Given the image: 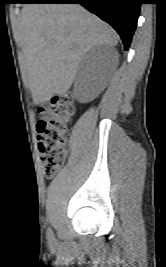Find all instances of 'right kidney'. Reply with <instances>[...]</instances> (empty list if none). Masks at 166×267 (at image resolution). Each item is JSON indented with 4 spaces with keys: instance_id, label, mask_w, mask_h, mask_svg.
Returning <instances> with one entry per match:
<instances>
[{
    "instance_id": "obj_1",
    "label": "right kidney",
    "mask_w": 166,
    "mask_h": 267,
    "mask_svg": "<svg viewBox=\"0 0 166 267\" xmlns=\"http://www.w3.org/2000/svg\"><path fill=\"white\" fill-rule=\"evenodd\" d=\"M106 60L105 49L101 46L86 54L76 79V97L81 103L89 102L100 94Z\"/></svg>"
}]
</instances>
